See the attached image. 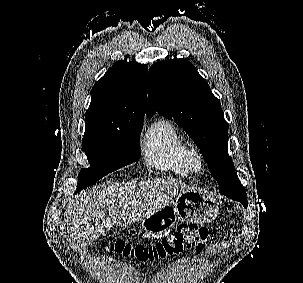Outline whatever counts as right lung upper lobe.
I'll return each mask as SVG.
<instances>
[{"mask_svg": "<svg viewBox=\"0 0 303 283\" xmlns=\"http://www.w3.org/2000/svg\"><path fill=\"white\" fill-rule=\"evenodd\" d=\"M148 67L136 61L113 64L95 83L86 111V129L119 127L144 120Z\"/></svg>", "mask_w": 303, "mask_h": 283, "instance_id": "right-lung-upper-lobe-1", "label": "right lung upper lobe"}]
</instances>
